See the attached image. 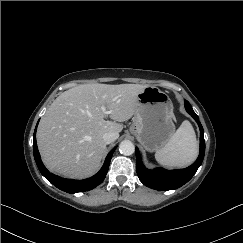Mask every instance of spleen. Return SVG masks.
I'll list each match as a JSON object with an SVG mask.
<instances>
[{
  "label": "spleen",
  "mask_w": 243,
  "mask_h": 243,
  "mask_svg": "<svg viewBox=\"0 0 243 243\" xmlns=\"http://www.w3.org/2000/svg\"><path fill=\"white\" fill-rule=\"evenodd\" d=\"M198 155V143L189 121H184L168 143L155 153L158 163L168 167H185Z\"/></svg>",
  "instance_id": "obj_1"
}]
</instances>
